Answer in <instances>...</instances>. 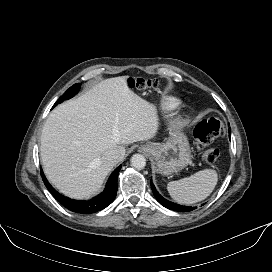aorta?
I'll return each instance as SVG.
<instances>
[{
	"label": "aorta",
	"instance_id": "762f6f07",
	"mask_svg": "<svg viewBox=\"0 0 272 272\" xmlns=\"http://www.w3.org/2000/svg\"><path fill=\"white\" fill-rule=\"evenodd\" d=\"M131 165L136 169H143L146 166V159L141 154H134L131 157Z\"/></svg>",
	"mask_w": 272,
	"mask_h": 272
}]
</instances>
